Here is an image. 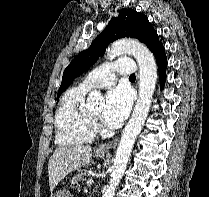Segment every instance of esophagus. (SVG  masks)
I'll use <instances>...</instances> for the list:
<instances>
[{"mask_svg": "<svg viewBox=\"0 0 209 197\" xmlns=\"http://www.w3.org/2000/svg\"><path fill=\"white\" fill-rule=\"evenodd\" d=\"M117 138L113 139L112 141L102 144L97 148V152L103 154H109L110 150L116 145Z\"/></svg>", "mask_w": 209, "mask_h": 197, "instance_id": "34e87169", "label": "esophagus"}]
</instances>
